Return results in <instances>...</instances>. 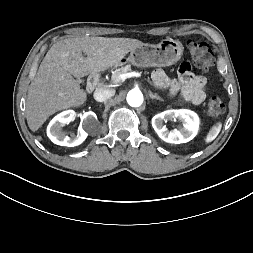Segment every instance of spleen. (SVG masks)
Wrapping results in <instances>:
<instances>
[{
  "instance_id": "spleen-1",
  "label": "spleen",
  "mask_w": 253,
  "mask_h": 253,
  "mask_svg": "<svg viewBox=\"0 0 253 253\" xmlns=\"http://www.w3.org/2000/svg\"><path fill=\"white\" fill-rule=\"evenodd\" d=\"M221 128H222V123L221 122H218V123L214 124L210 128V130H209V132H208V134L205 138V142L206 143L212 142L218 136V134L220 133Z\"/></svg>"
}]
</instances>
